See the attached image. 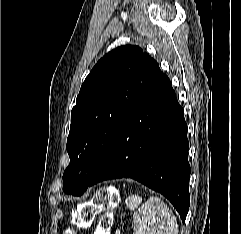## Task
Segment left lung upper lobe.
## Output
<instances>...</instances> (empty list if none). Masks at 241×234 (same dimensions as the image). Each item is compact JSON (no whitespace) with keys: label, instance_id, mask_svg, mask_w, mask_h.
Here are the masks:
<instances>
[{"label":"left lung upper lobe","instance_id":"5c2ea615","mask_svg":"<svg viewBox=\"0 0 241 234\" xmlns=\"http://www.w3.org/2000/svg\"><path fill=\"white\" fill-rule=\"evenodd\" d=\"M158 69L153 58L133 45L112 50L93 67L71 112L65 193L80 196L88 188L123 121Z\"/></svg>","mask_w":241,"mask_h":234}]
</instances>
